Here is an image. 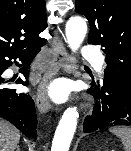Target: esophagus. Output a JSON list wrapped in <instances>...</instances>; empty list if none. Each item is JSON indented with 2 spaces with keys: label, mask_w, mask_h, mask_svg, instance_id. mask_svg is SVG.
<instances>
[{
  "label": "esophagus",
  "mask_w": 131,
  "mask_h": 151,
  "mask_svg": "<svg viewBox=\"0 0 131 151\" xmlns=\"http://www.w3.org/2000/svg\"><path fill=\"white\" fill-rule=\"evenodd\" d=\"M71 61L58 32H55L52 43L51 64L40 82L35 96L36 106L41 114H46L51 107L50 99L46 92L47 84L57 76L60 71H69Z\"/></svg>",
  "instance_id": "1"
}]
</instances>
